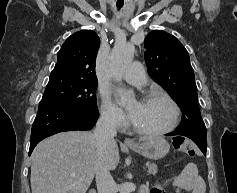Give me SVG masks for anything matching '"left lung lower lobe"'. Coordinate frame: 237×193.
Returning <instances> with one entry per match:
<instances>
[{"mask_svg": "<svg viewBox=\"0 0 237 193\" xmlns=\"http://www.w3.org/2000/svg\"><path fill=\"white\" fill-rule=\"evenodd\" d=\"M173 135H182V136H186V137L190 138L197 144V146L200 148V150L203 152V154L206 155L207 139L206 140L200 139V138H197L192 135L179 133L177 131L167 134V136H173Z\"/></svg>", "mask_w": 237, "mask_h": 193, "instance_id": "left-lung-lower-lobe-1", "label": "left lung lower lobe"}]
</instances>
